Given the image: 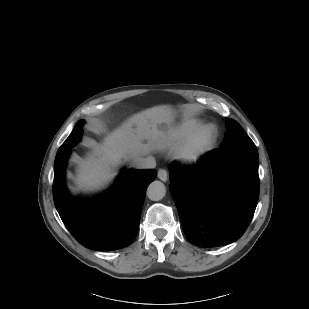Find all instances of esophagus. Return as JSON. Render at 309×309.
Here are the masks:
<instances>
[{
  "label": "esophagus",
  "mask_w": 309,
  "mask_h": 309,
  "mask_svg": "<svg viewBox=\"0 0 309 309\" xmlns=\"http://www.w3.org/2000/svg\"><path fill=\"white\" fill-rule=\"evenodd\" d=\"M158 178L160 179V180H162V181H167V179H168V173H167V171L165 170V169H159L158 170Z\"/></svg>",
  "instance_id": "34e87169"
}]
</instances>
